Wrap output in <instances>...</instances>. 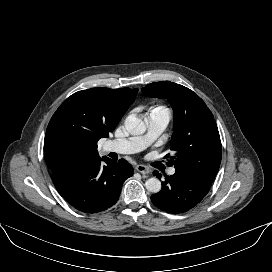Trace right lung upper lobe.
Here are the masks:
<instances>
[{
	"mask_svg": "<svg viewBox=\"0 0 272 272\" xmlns=\"http://www.w3.org/2000/svg\"><path fill=\"white\" fill-rule=\"evenodd\" d=\"M138 89L92 88L68 97L52 116L44 140V156L52 173L99 158L97 142L108 137Z\"/></svg>",
	"mask_w": 272,
	"mask_h": 272,
	"instance_id": "cb5924a9",
	"label": "right lung upper lobe"
}]
</instances>
